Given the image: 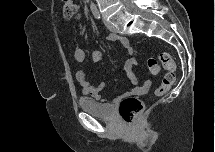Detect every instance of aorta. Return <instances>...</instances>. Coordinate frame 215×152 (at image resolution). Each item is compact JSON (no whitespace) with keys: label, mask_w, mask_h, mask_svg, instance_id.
Masks as SVG:
<instances>
[{"label":"aorta","mask_w":215,"mask_h":152,"mask_svg":"<svg viewBox=\"0 0 215 152\" xmlns=\"http://www.w3.org/2000/svg\"><path fill=\"white\" fill-rule=\"evenodd\" d=\"M91 7L93 8V7H95V5H94V3L91 1Z\"/></svg>","instance_id":"aorta-1"}]
</instances>
